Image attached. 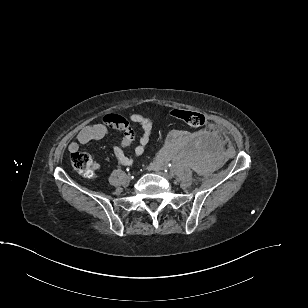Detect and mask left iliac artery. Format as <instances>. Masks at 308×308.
Returning <instances> with one entry per match:
<instances>
[{
    "label": "left iliac artery",
    "mask_w": 308,
    "mask_h": 308,
    "mask_svg": "<svg viewBox=\"0 0 308 308\" xmlns=\"http://www.w3.org/2000/svg\"><path fill=\"white\" fill-rule=\"evenodd\" d=\"M168 168L172 169L173 165L169 163L167 166H165V170L164 171L167 172Z\"/></svg>",
    "instance_id": "obj_1"
}]
</instances>
